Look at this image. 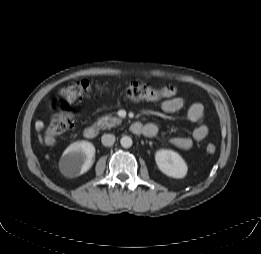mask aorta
Listing matches in <instances>:
<instances>
[{"label":"aorta","instance_id":"aorta-1","mask_svg":"<svg viewBox=\"0 0 261 254\" xmlns=\"http://www.w3.org/2000/svg\"><path fill=\"white\" fill-rule=\"evenodd\" d=\"M132 139L129 136H123L120 140V144L124 148H130L132 146Z\"/></svg>","mask_w":261,"mask_h":254}]
</instances>
